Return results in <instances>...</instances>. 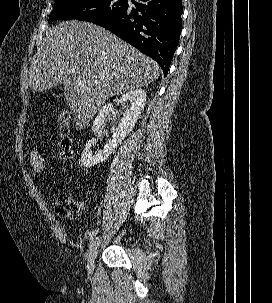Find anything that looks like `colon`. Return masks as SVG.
Here are the masks:
<instances>
[{"label": "colon", "mask_w": 272, "mask_h": 303, "mask_svg": "<svg viewBox=\"0 0 272 303\" xmlns=\"http://www.w3.org/2000/svg\"><path fill=\"white\" fill-rule=\"evenodd\" d=\"M59 148L61 157L69 160L73 157V139L70 127L69 115L63 114L59 123ZM29 163L31 171L36 176H43L47 170V162L44 153L40 149H33L30 153ZM55 212L62 217L76 218L80 216L83 210L81 201L69 196L59 195L54 203Z\"/></svg>", "instance_id": "obj_1"}]
</instances>
